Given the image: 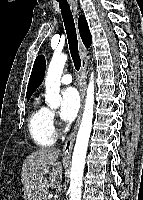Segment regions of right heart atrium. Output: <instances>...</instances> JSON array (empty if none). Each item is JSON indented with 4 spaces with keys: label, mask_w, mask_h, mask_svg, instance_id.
Wrapping results in <instances>:
<instances>
[{
    "label": "right heart atrium",
    "mask_w": 143,
    "mask_h": 200,
    "mask_svg": "<svg viewBox=\"0 0 143 200\" xmlns=\"http://www.w3.org/2000/svg\"><path fill=\"white\" fill-rule=\"evenodd\" d=\"M49 120H50V125L52 129L54 130L56 126V118H55V113L53 111H50L49 113Z\"/></svg>",
    "instance_id": "right-heart-atrium-1"
}]
</instances>
